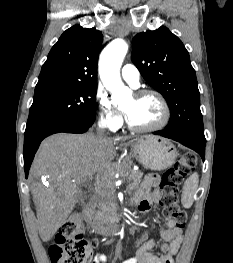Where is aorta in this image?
Returning a JSON list of instances; mask_svg holds the SVG:
<instances>
[{"mask_svg":"<svg viewBox=\"0 0 233 263\" xmlns=\"http://www.w3.org/2000/svg\"><path fill=\"white\" fill-rule=\"evenodd\" d=\"M127 51V43L118 38L107 45L100 57V78L116 103L125 101L131 95V90L123 84L120 77V67Z\"/></svg>","mask_w":233,"mask_h":263,"instance_id":"obj_1","label":"aorta"}]
</instances>
